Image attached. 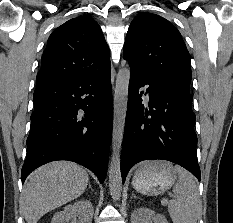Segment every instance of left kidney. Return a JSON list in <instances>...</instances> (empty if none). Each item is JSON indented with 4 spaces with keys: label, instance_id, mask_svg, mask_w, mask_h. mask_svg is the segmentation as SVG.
Instances as JSON below:
<instances>
[{
    "label": "left kidney",
    "instance_id": "1",
    "mask_svg": "<svg viewBox=\"0 0 233 223\" xmlns=\"http://www.w3.org/2000/svg\"><path fill=\"white\" fill-rule=\"evenodd\" d=\"M168 223L166 217L162 213H156L149 207H138L131 213V223Z\"/></svg>",
    "mask_w": 233,
    "mask_h": 223
}]
</instances>
